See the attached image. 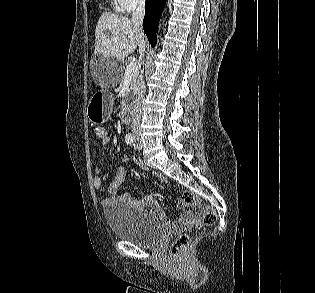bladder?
Instances as JSON below:
<instances>
[{
    "label": "bladder",
    "instance_id": "bladder-1",
    "mask_svg": "<svg viewBox=\"0 0 315 293\" xmlns=\"http://www.w3.org/2000/svg\"><path fill=\"white\" fill-rule=\"evenodd\" d=\"M104 217L114 236L140 247L155 245L163 234L153 217L125 202L109 205Z\"/></svg>",
    "mask_w": 315,
    "mask_h": 293
}]
</instances>
